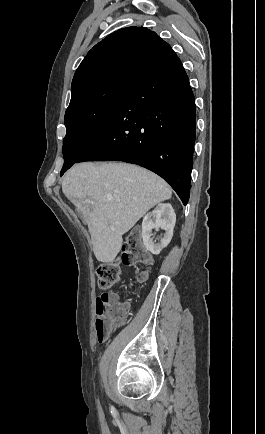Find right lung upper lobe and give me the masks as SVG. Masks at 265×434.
Returning <instances> with one entry per match:
<instances>
[{
	"label": "right lung upper lobe",
	"mask_w": 265,
	"mask_h": 434,
	"mask_svg": "<svg viewBox=\"0 0 265 434\" xmlns=\"http://www.w3.org/2000/svg\"><path fill=\"white\" fill-rule=\"evenodd\" d=\"M170 45L145 27H127L113 32L96 44L75 72L72 88L106 76L137 75Z\"/></svg>",
	"instance_id": "cb5924a9"
}]
</instances>
